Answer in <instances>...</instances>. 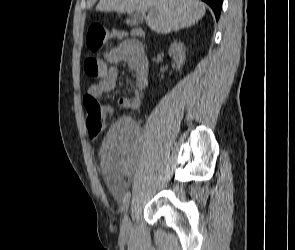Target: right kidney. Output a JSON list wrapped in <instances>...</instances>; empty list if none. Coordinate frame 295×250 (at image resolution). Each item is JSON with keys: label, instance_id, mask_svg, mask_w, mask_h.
Wrapping results in <instances>:
<instances>
[{"label": "right kidney", "instance_id": "ca27d5eb", "mask_svg": "<svg viewBox=\"0 0 295 250\" xmlns=\"http://www.w3.org/2000/svg\"><path fill=\"white\" fill-rule=\"evenodd\" d=\"M169 54L174 57L180 70L186 60L184 44L180 41L174 42L169 48Z\"/></svg>", "mask_w": 295, "mask_h": 250}]
</instances>
